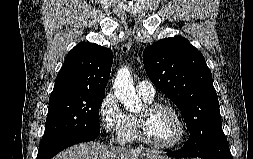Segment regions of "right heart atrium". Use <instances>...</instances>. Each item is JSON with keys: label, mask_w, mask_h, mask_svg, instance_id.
Returning <instances> with one entry per match:
<instances>
[{"label": "right heart atrium", "mask_w": 253, "mask_h": 159, "mask_svg": "<svg viewBox=\"0 0 253 159\" xmlns=\"http://www.w3.org/2000/svg\"><path fill=\"white\" fill-rule=\"evenodd\" d=\"M101 126L109 141L116 144L127 142L128 115L121 108L113 93L106 94L98 108Z\"/></svg>", "instance_id": "obj_1"}]
</instances>
